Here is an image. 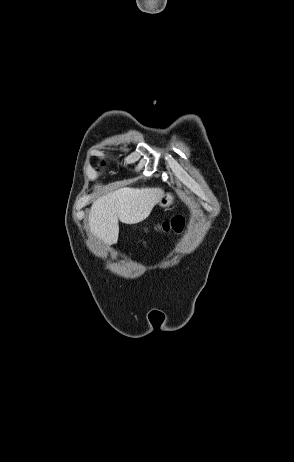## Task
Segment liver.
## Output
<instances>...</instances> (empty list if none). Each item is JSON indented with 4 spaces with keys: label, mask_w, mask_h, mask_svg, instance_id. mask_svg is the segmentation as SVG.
Segmentation results:
<instances>
[{
    "label": "liver",
    "mask_w": 294,
    "mask_h": 462,
    "mask_svg": "<svg viewBox=\"0 0 294 462\" xmlns=\"http://www.w3.org/2000/svg\"><path fill=\"white\" fill-rule=\"evenodd\" d=\"M159 188H121L93 202L89 213V231L108 245L117 243L120 220L135 224L146 219L159 203Z\"/></svg>",
    "instance_id": "6515ba94"
}]
</instances>
